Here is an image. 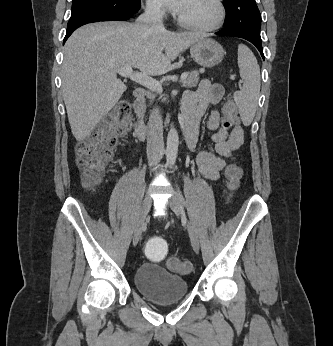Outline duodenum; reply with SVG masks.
<instances>
[{"label": "duodenum", "instance_id": "duodenum-1", "mask_svg": "<svg viewBox=\"0 0 333 346\" xmlns=\"http://www.w3.org/2000/svg\"><path fill=\"white\" fill-rule=\"evenodd\" d=\"M145 90L142 88H137L134 91V97H135V112H136V121L134 123V134L139 139H144L146 136V125L144 121L142 120V115L144 113V106H143V100L145 98ZM182 129L185 131L186 135H189L190 128L189 124L186 120L182 119Z\"/></svg>", "mask_w": 333, "mask_h": 346}]
</instances>
